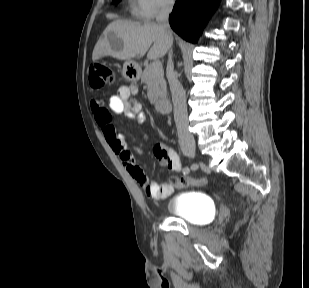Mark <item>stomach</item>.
I'll use <instances>...</instances> for the list:
<instances>
[{
    "instance_id": "0dacf381",
    "label": "stomach",
    "mask_w": 309,
    "mask_h": 288,
    "mask_svg": "<svg viewBox=\"0 0 309 288\" xmlns=\"http://www.w3.org/2000/svg\"><path fill=\"white\" fill-rule=\"evenodd\" d=\"M122 74L128 81L136 82L141 77L140 66L133 60H126L123 64Z\"/></svg>"
}]
</instances>
